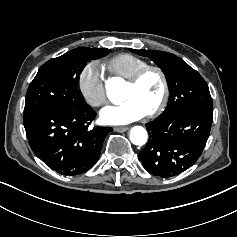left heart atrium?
I'll list each match as a JSON object with an SVG mask.
<instances>
[{"label": "left heart atrium", "instance_id": "obj_1", "mask_svg": "<svg viewBox=\"0 0 237 237\" xmlns=\"http://www.w3.org/2000/svg\"><path fill=\"white\" fill-rule=\"evenodd\" d=\"M146 113L133 101L124 100L118 105H108L100 112V120L106 125H123L144 117Z\"/></svg>", "mask_w": 237, "mask_h": 237}]
</instances>
